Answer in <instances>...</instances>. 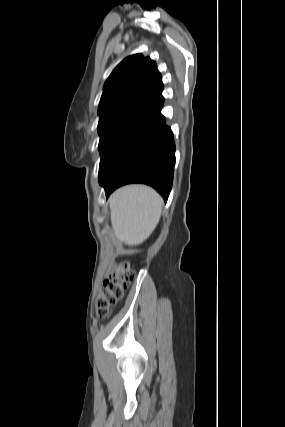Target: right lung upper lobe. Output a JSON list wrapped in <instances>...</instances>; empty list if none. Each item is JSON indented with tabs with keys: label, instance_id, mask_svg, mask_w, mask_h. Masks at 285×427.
<instances>
[{
	"label": "right lung upper lobe",
	"instance_id": "cb5924a9",
	"mask_svg": "<svg viewBox=\"0 0 285 427\" xmlns=\"http://www.w3.org/2000/svg\"><path fill=\"white\" fill-rule=\"evenodd\" d=\"M156 63L142 54L125 58L105 82L99 104L100 119L123 112L146 113L163 97Z\"/></svg>",
	"mask_w": 285,
	"mask_h": 427
}]
</instances>
